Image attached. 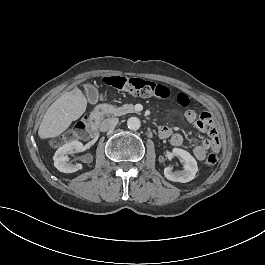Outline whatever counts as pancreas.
Returning <instances> with one entry per match:
<instances>
[{"instance_id": "obj_1", "label": "pancreas", "mask_w": 265, "mask_h": 265, "mask_svg": "<svg viewBox=\"0 0 265 265\" xmlns=\"http://www.w3.org/2000/svg\"><path fill=\"white\" fill-rule=\"evenodd\" d=\"M107 112L113 116H121L127 113H135L136 111L133 104H124L121 107L107 105Z\"/></svg>"}]
</instances>
